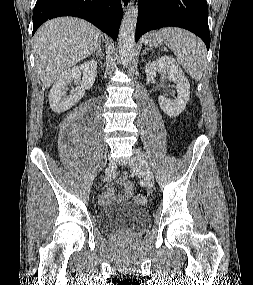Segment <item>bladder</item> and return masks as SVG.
<instances>
[{"label": "bladder", "mask_w": 253, "mask_h": 285, "mask_svg": "<svg viewBox=\"0 0 253 285\" xmlns=\"http://www.w3.org/2000/svg\"><path fill=\"white\" fill-rule=\"evenodd\" d=\"M103 228L109 232L138 230L148 222L147 211L134 204L104 208L99 214Z\"/></svg>", "instance_id": "bladder-1"}]
</instances>
